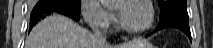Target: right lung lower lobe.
<instances>
[{
	"label": "right lung lower lobe",
	"mask_w": 213,
	"mask_h": 48,
	"mask_svg": "<svg viewBox=\"0 0 213 48\" xmlns=\"http://www.w3.org/2000/svg\"><path fill=\"white\" fill-rule=\"evenodd\" d=\"M52 13H61L73 18L79 19L80 7H77L67 0H40L34 7L30 16V29L41 19Z\"/></svg>",
	"instance_id": "98d812e1"
}]
</instances>
